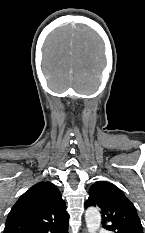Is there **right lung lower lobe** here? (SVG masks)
<instances>
[{"instance_id":"1","label":"right lung lower lobe","mask_w":145,"mask_h":233,"mask_svg":"<svg viewBox=\"0 0 145 233\" xmlns=\"http://www.w3.org/2000/svg\"><path fill=\"white\" fill-rule=\"evenodd\" d=\"M63 233H68L67 229L65 231H63Z\"/></svg>"}]
</instances>
